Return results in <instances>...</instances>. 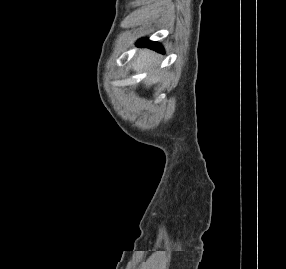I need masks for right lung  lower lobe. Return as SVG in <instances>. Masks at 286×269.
<instances>
[{"mask_svg": "<svg viewBox=\"0 0 286 269\" xmlns=\"http://www.w3.org/2000/svg\"><path fill=\"white\" fill-rule=\"evenodd\" d=\"M138 44L144 45V46H148V47H150L152 49H155V50H157L159 52H163L162 46L160 44H158L157 42H151V41H149L147 39H143V40H140L138 42Z\"/></svg>", "mask_w": 286, "mask_h": 269, "instance_id": "right-lung-lower-lobe-1", "label": "right lung lower lobe"}]
</instances>
